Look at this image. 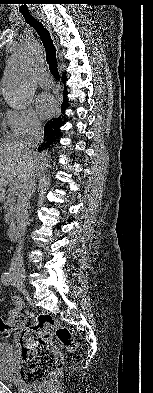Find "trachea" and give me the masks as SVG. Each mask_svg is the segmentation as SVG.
I'll use <instances>...</instances> for the list:
<instances>
[{
	"mask_svg": "<svg viewBox=\"0 0 153 393\" xmlns=\"http://www.w3.org/2000/svg\"><path fill=\"white\" fill-rule=\"evenodd\" d=\"M24 18L27 24L32 26L38 33L46 52V61L49 65V70L53 77L60 80V74L58 71V63L56 57V48L53 44V40L48 29L37 19L30 14H24Z\"/></svg>",
	"mask_w": 153,
	"mask_h": 393,
	"instance_id": "1",
	"label": "trachea"
}]
</instances>
